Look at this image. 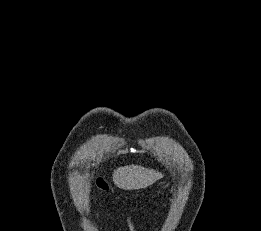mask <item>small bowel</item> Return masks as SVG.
Instances as JSON below:
<instances>
[{
  "label": "small bowel",
  "instance_id": "1",
  "mask_svg": "<svg viewBox=\"0 0 261 231\" xmlns=\"http://www.w3.org/2000/svg\"><path fill=\"white\" fill-rule=\"evenodd\" d=\"M126 225L130 231H135V225L133 221V217L131 215H127L125 218Z\"/></svg>",
  "mask_w": 261,
  "mask_h": 231
}]
</instances>
